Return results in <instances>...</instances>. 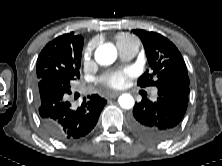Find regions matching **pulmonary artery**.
Segmentation results:
<instances>
[{"label":"pulmonary artery","instance_id":"pulmonary-artery-1","mask_svg":"<svg viewBox=\"0 0 222 166\" xmlns=\"http://www.w3.org/2000/svg\"><path fill=\"white\" fill-rule=\"evenodd\" d=\"M118 49H119V53L123 59L130 60L136 56V54L138 52V44L120 46ZM156 95H157V91L154 90L151 94V98L155 99Z\"/></svg>","mask_w":222,"mask_h":166}]
</instances>
